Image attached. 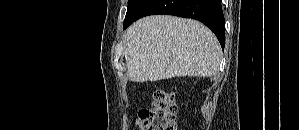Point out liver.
<instances>
[{"label": "liver", "mask_w": 299, "mask_h": 130, "mask_svg": "<svg viewBox=\"0 0 299 130\" xmlns=\"http://www.w3.org/2000/svg\"><path fill=\"white\" fill-rule=\"evenodd\" d=\"M123 39L128 77L134 82L211 77L218 72L220 44L196 20L148 16L134 22Z\"/></svg>", "instance_id": "6515ba94"}]
</instances>
